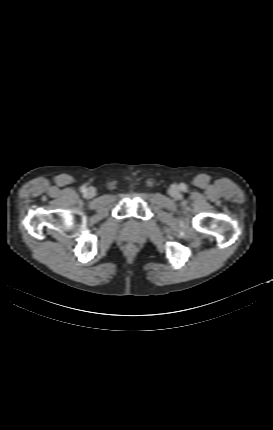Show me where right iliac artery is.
<instances>
[{
  "mask_svg": "<svg viewBox=\"0 0 273 430\" xmlns=\"http://www.w3.org/2000/svg\"><path fill=\"white\" fill-rule=\"evenodd\" d=\"M81 191H82L83 193H86V192H87V188H86L85 186H82V187H81Z\"/></svg>",
  "mask_w": 273,
  "mask_h": 430,
  "instance_id": "obj_1",
  "label": "right iliac artery"
}]
</instances>
